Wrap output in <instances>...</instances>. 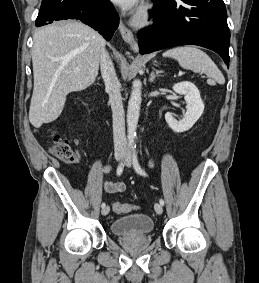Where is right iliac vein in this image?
Listing matches in <instances>:
<instances>
[{"instance_id":"right-iliac-vein-1","label":"right iliac vein","mask_w":259,"mask_h":283,"mask_svg":"<svg viewBox=\"0 0 259 283\" xmlns=\"http://www.w3.org/2000/svg\"><path fill=\"white\" fill-rule=\"evenodd\" d=\"M122 157H123V153L122 152L118 151V152L115 153V158H116L117 161H120L122 159ZM109 211H110L109 206H105L102 209L101 214L103 216H105V215H107L109 213Z\"/></svg>"}]
</instances>
